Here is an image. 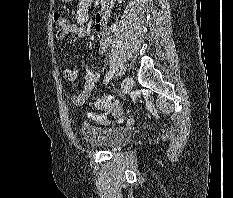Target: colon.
I'll list each match as a JSON object with an SVG mask.
<instances>
[{
	"instance_id": "colon-1",
	"label": "colon",
	"mask_w": 233,
	"mask_h": 198,
	"mask_svg": "<svg viewBox=\"0 0 233 198\" xmlns=\"http://www.w3.org/2000/svg\"><path fill=\"white\" fill-rule=\"evenodd\" d=\"M53 20H54V27H55L56 33L62 32L66 25V20L64 16L59 12H55L53 16ZM92 107L96 111H105V112H110V113L121 112V108L119 104L113 101L108 96L95 99L92 104Z\"/></svg>"
}]
</instances>
